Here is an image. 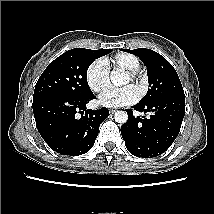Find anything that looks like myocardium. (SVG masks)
I'll list each match as a JSON object with an SVG mask.
<instances>
[{
	"label": "myocardium",
	"instance_id": "obj_1",
	"mask_svg": "<svg viewBox=\"0 0 214 214\" xmlns=\"http://www.w3.org/2000/svg\"><path fill=\"white\" fill-rule=\"evenodd\" d=\"M127 76L131 83L138 85L140 83V77L137 72H127Z\"/></svg>",
	"mask_w": 214,
	"mask_h": 214
}]
</instances>
